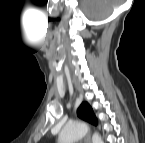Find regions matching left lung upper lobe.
<instances>
[{"label":"left lung upper lobe","instance_id":"obj_1","mask_svg":"<svg viewBox=\"0 0 145 143\" xmlns=\"http://www.w3.org/2000/svg\"><path fill=\"white\" fill-rule=\"evenodd\" d=\"M78 116L92 124H97V119L93 113V110L87 102L82 103L79 107Z\"/></svg>","mask_w":145,"mask_h":143}]
</instances>
